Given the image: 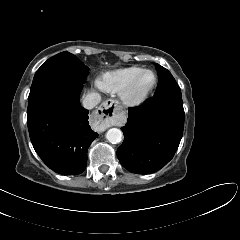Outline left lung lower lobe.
<instances>
[{"instance_id":"left-lung-lower-lobe-1","label":"left lung lower lobe","mask_w":240,"mask_h":240,"mask_svg":"<svg viewBox=\"0 0 240 240\" xmlns=\"http://www.w3.org/2000/svg\"><path fill=\"white\" fill-rule=\"evenodd\" d=\"M128 111L127 123L122 127L124 141L117 149V157L131 173L156 172L173 158L182 138L181 94L154 95Z\"/></svg>"}]
</instances>
